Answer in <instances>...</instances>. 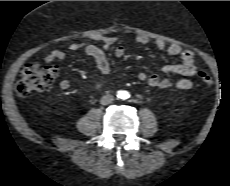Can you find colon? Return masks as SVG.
Wrapping results in <instances>:
<instances>
[{"mask_svg":"<svg viewBox=\"0 0 230 186\" xmlns=\"http://www.w3.org/2000/svg\"><path fill=\"white\" fill-rule=\"evenodd\" d=\"M58 70L54 66H45L40 63H31L24 67L16 85L19 96L25 97L49 87L57 77ZM206 87L213 85L212 78L203 71L194 74Z\"/></svg>","mask_w":230,"mask_h":186,"instance_id":"5ec220e1","label":"colon"}]
</instances>
